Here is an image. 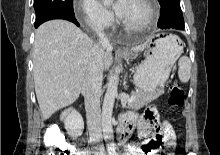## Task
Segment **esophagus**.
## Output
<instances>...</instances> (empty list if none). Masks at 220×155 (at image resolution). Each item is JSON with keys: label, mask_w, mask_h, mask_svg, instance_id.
Listing matches in <instances>:
<instances>
[{"label": "esophagus", "mask_w": 220, "mask_h": 155, "mask_svg": "<svg viewBox=\"0 0 220 155\" xmlns=\"http://www.w3.org/2000/svg\"><path fill=\"white\" fill-rule=\"evenodd\" d=\"M116 52H117V53H124V52H125V49H123V48H118V49L116 50Z\"/></svg>", "instance_id": "34e87169"}]
</instances>
